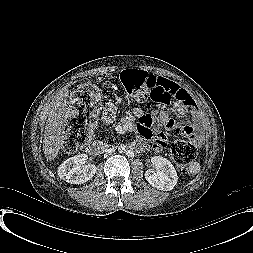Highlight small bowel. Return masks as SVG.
Returning a JSON list of instances; mask_svg holds the SVG:
<instances>
[{
    "instance_id": "c3829d8e",
    "label": "small bowel",
    "mask_w": 253,
    "mask_h": 253,
    "mask_svg": "<svg viewBox=\"0 0 253 253\" xmlns=\"http://www.w3.org/2000/svg\"><path fill=\"white\" fill-rule=\"evenodd\" d=\"M177 100L173 104V110L180 116L190 113L193 120L200 119V113L192 107V98L188 92L178 86ZM117 107L111 103L106 106L102 114V119L105 124H110L114 120ZM134 115L137 117V129L140 135L147 139L153 140V147L157 151H162L167 145L166 137L158 131L159 125L165 129L184 133L186 135H193V127L191 124H178L175 118L166 110H162L156 117L143 113L141 108H135ZM154 128L152 130L151 128Z\"/></svg>"
}]
</instances>
